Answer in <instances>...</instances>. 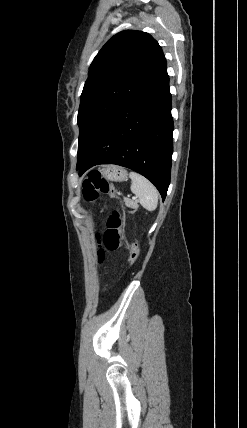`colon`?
<instances>
[{
    "label": "colon",
    "mask_w": 247,
    "mask_h": 428,
    "mask_svg": "<svg viewBox=\"0 0 247 428\" xmlns=\"http://www.w3.org/2000/svg\"><path fill=\"white\" fill-rule=\"evenodd\" d=\"M101 195H107L111 199H117V192L112 183L103 178L97 172H91L83 181V196L87 202H95ZM126 216L115 209L107 220V229L103 235V245L108 251L126 249L131 263H135L140 255V249L133 242L125 240ZM105 258L103 249H99L97 259L102 263Z\"/></svg>",
    "instance_id": "1"
}]
</instances>
